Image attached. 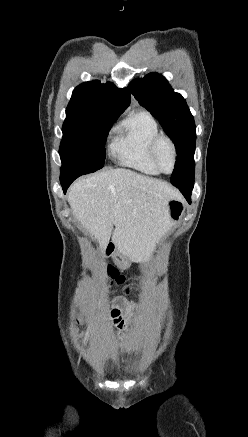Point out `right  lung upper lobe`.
<instances>
[{"mask_svg": "<svg viewBox=\"0 0 248 437\" xmlns=\"http://www.w3.org/2000/svg\"><path fill=\"white\" fill-rule=\"evenodd\" d=\"M127 88H117L113 83L85 82L77 86L67 106L66 114L87 118L119 117L129 106Z\"/></svg>", "mask_w": 248, "mask_h": 437, "instance_id": "cb5924a9", "label": "right lung upper lobe"}]
</instances>
